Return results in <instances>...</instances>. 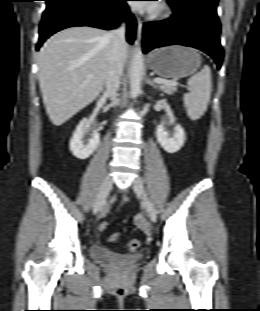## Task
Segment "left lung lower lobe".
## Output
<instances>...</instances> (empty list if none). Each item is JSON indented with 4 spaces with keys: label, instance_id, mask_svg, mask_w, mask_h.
Segmentation results:
<instances>
[{
    "label": "left lung lower lobe",
    "instance_id": "1",
    "mask_svg": "<svg viewBox=\"0 0 260 311\" xmlns=\"http://www.w3.org/2000/svg\"><path fill=\"white\" fill-rule=\"evenodd\" d=\"M173 15L163 21L146 22L143 27V52L167 45H185L204 51L220 68L223 51L220 45L218 17L197 5L171 6Z\"/></svg>",
    "mask_w": 260,
    "mask_h": 311
}]
</instances>
